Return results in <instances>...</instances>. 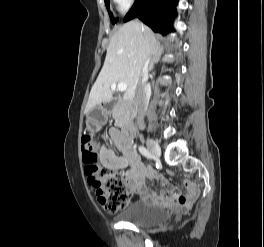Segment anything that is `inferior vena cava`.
<instances>
[{
  "label": "inferior vena cava",
  "mask_w": 264,
  "mask_h": 247,
  "mask_svg": "<svg viewBox=\"0 0 264 247\" xmlns=\"http://www.w3.org/2000/svg\"><path fill=\"white\" fill-rule=\"evenodd\" d=\"M148 65L149 59L146 58L140 72V77L136 86V100L138 103V123L140 126L144 124V116L147 111L151 88L148 83Z\"/></svg>",
  "instance_id": "inferior-vena-cava-1"
}]
</instances>
